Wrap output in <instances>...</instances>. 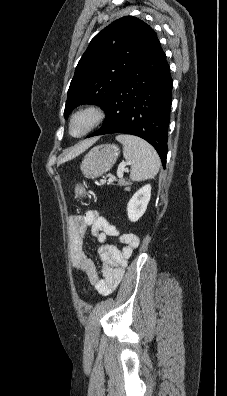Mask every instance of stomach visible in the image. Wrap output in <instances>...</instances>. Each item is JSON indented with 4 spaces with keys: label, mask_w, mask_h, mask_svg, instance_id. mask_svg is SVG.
Listing matches in <instances>:
<instances>
[{
    "label": "stomach",
    "mask_w": 227,
    "mask_h": 396,
    "mask_svg": "<svg viewBox=\"0 0 227 396\" xmlns=\"http://www.w3.org/2000/svg\"><path fill=\"white\" fill-rule=\"evenodd\" d=\"M119 156V149L115 145H99L91 149L81 163V171L86 178H97L108 172L115 164ZM76 196H83L85 188L77 184L75 187Z\"/></svg>",
    "instance_id": "stomach-1"
}]
</instances>
